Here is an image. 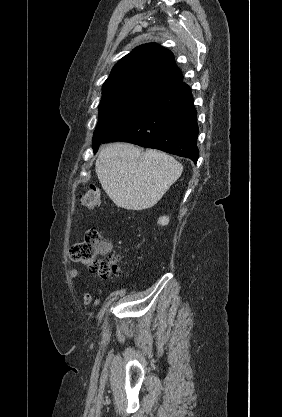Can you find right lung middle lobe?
I'll return each instance as SVG.
<instances>
[{
    "mask_svg": "<svg viewBox=\"0 0 282 417\" xmlns=\"http://www.w3.org/2000/svg\"><path fill=\"white\" fill-rule=\"evenodd\" d=\"M158 94L138 90L102 94L99 121L92 139L93 150L96 151L106 137L136 116Z\"/></svg>",
    "mask_w": 282,
    "mask_h": 417,
    "instance_id": "obj_1",
    "label": "right lung middle lobe"
}]
</instances>
